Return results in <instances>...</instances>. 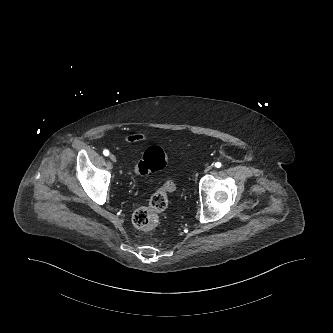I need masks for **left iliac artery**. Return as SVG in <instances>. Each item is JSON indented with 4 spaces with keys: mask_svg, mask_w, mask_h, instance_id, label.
Instances as JSON below:
<instances>
[{
    "mask_svg": "<svg viewBox=\"0 0 333 333\" xmlns=\"http://www.w3.org/2000/svg\"><path fill=\"white\" fill-rule=\"evenodd\" d=\"M221 166H222V164H221L220 162H216V163H215V167H216V168H220Z\"/></svg>",
    "mask_w": 333,
    "mask_h": 333,
    "instance_id": "44dca946",
    "label": "left iliac artery"
}]
</instances>
